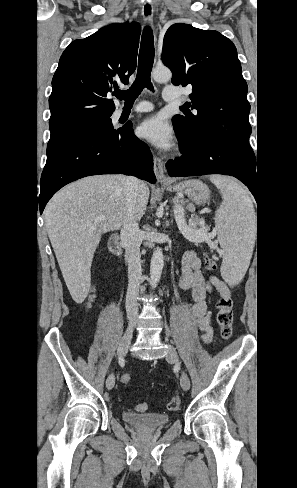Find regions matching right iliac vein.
Masks as SVG:
<instances>
[{"label":"right iliac vein","mask_w":297,"mask_h":488,"mask_svg":"<svg viewBox=\"0 0 297 488\" xmlns=\"http://www.w3.org/2000/svg\"><path fill=\"white\" fill-rule=\"evenodd\" d=\"M134 326H135V323L130 322L125 333H124V335L122 336V338L120 340V343H119L118 349H117V354H118L119 359L123 358V356L128 351V348L130 346L131 339L133 336ZM114 385H115V375H114V373H111L106 380V387L108 390H111L114 387Z\"/></svg>","instance_id":"right-iliac-vein-1"}]
</instances>
